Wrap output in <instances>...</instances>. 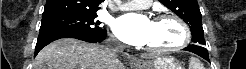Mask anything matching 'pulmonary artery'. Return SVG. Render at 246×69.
Wrapping results in <instances>:
<instances>
[{
    "mask_svg": "<svg viewBox=\"0 0 246 69\" xmlns=\"http://www.w3.org/2000/svg\"><path fill=\"white\" fill-rule=\"evenodd\" d=\"M150 3V0H132L123 3V5L121 6V10L143 9L146 8Z\"/></svg>",
    "mask_w": 246,
    "mask_h": 69,
    "instance_id": "pulmonary-artery-1",
    "label": "pulmonary artery"
}]
</instances>
